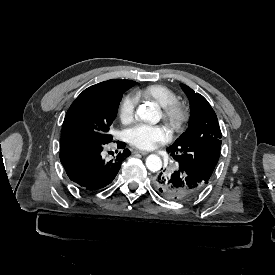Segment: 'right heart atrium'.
Segmentation results:
<instances>
[{
  "label": "right heart atrium",
  "mask_w": 275,
  "mask_h": 275,
  "mask_svg": "<svg viewBox=\"0 0 275 275\" xmlns=\"http://www.w3.org/2000/svg\"><path fill=\"white\" fill-rule=\"evenodd\" d=\"M137 99L132 95H126L122 98L119 105V117L122 123L129 124L135 116Z\"/></svg>",
  "instance_id": "obj_1"
}]
</instances>
